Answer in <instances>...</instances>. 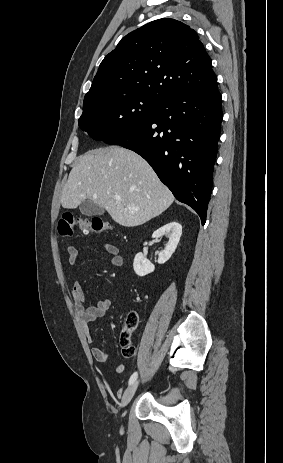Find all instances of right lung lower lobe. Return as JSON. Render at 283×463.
Listing matches in <instances>:
<instances>
[{
    "mask_svg": "<svg viewBox=\"0 0 283 463\" xmlns=\"http://www.w3.org/2000/svg\"><path fill=\"white\" fill-rule=\"evenodd\" d=\"M217 80L158 102L145 121L105 141L141 155L177 200L206 220L220 126Z\"/></svg>",
    "mask_w": 283,
    "mask_h": 463,
    "instance_id": "98d812e1",
    "label": "right lung lower lobe"
}]
</instances>
